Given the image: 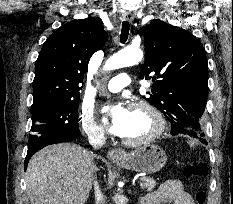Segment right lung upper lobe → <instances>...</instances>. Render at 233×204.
<instances>
[{"mask_svg":"<svg viewBox=\"0 0 233 204\" xmlns=\"http://www.w3.org/2000/svg\"><path fill=\"white\" fill-rule=\"evenodd\" d=\"M106 37L93 17L71 21L51 34L36 61L32 106L79 99L87 62Z\"/></svg>","mask_w":233,"mask_h":204,"instance_id":"right-lung-upper-lobe-1","label":"right lung upper lobe"}]
</instances>
